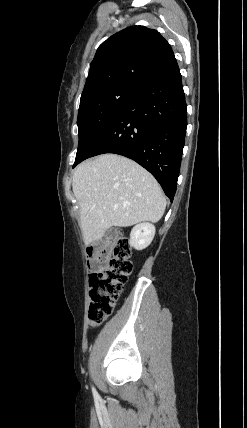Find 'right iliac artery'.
I'll return each mask as SVG.
<instances>
[{
    "mask_svg": "<svg viewBox=\"0 0 247 428\" xmlns=\"http://www.w3.org/2000/svg\"><path fill=\"white\" fill-rule=\"evenodd\" d=\"M92 391H93L94 396H97V392L94 388H92Z\"/></svg>",
    "mask_w": 247,
    "mask_h": 428,
    "instance_id": "1",
    "label": "right iliac artery"
}]
</instances>
